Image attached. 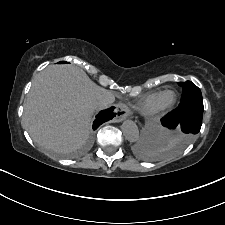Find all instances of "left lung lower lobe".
<instances>
[{
  "label": "left lung lower lobe",
  "instance_id": "1",
  "mask_svg": "<svg viewBox=\"0 0 225 225\" xmlns=\"http://www.w3.org/2000/svg\"><path fill=\"white\" fill-rule=\"evenodd\" d=\"M203 104L192 103L178 106L172 112L162 118V125L169 129L180 127L183 134L194 136L200 131L203 116Z\"/></svg>",
  "mask_w": 225,
  "mask_h": 225
}]
</instances>
